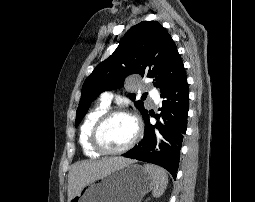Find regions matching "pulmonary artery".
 Masks as SVG:
<instances>
[{
    "label": "pulmonary artery",
    "instance_id": "e3ab8cb5",
    "mask_svg": "<svg viewBox=\"0 0 255 202\" xmlns=\"http://www.w3.org/2000/svg\"><path fill=\"white\" fill-rule=\"evenodd\" d=\"M150 93L153 94L154 91L151 90ZM112 97H113V95L110 92H105V93L102 94L101 99H102L103 102L109 104L112 100Z\"/></svg>",
    "mask_w": 255,
    "mask_h": 202
}]
</instances>
